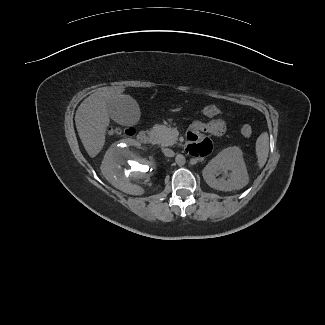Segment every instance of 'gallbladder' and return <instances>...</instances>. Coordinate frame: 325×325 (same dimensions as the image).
I'll return each instance as SVG.
<instances>
[{
  "instance_id": "bac80fb5",
  "label": "gallbladder",
  "mask_w": 325,
  "mask_h": 325,
  "mask_svg": "<svg viewBox=\"0 0 325 325\" xmlns=\"http://www.w3.org/2000/svg\"><path fill=\"white\" fill-rule=\"evenodd\" d=\"M108 114L116 123L128 126L138 122L140 109L137 102L128 97L121 96L107 105Z\"/></svg>"
}]
</instances>
